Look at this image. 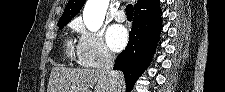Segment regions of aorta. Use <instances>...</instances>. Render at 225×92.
<instances>
[{"instance_id": "762f6f07", "label": "aorta", "mask_w": 225, "mask_h": 92, "mask_svg": "<svg viewBox=\"0 0 225 92\" xmlns=\"http://www.w3.org/2000/svg\"><path fill=\"white\" fill-rule=\"evenodd\" d=\"M109 0H88L83 10V21L87 29L95 32L103 24Z\"/></svg>"}]
</instances>
